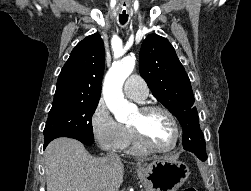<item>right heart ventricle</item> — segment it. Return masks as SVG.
Listing matches in <instances>:
<instances>
[{
	"mask_svg": "<svg viewBox=\"0 0 251 191\" xmlns=\"http://www.w3.org/2000/svg\"><path fill=\"white\" fill-rule=\"evenodd\" d=\"M128 153L137 156H145L149 151L140 145L132 128L128 129V140L124 146Z\"/></svg>",
	"mask_w": 251,
	"mask_h": 191,
	"instance_id": "e07e8e85",
	"label": "right heart ventricle"
}]
</instances>
